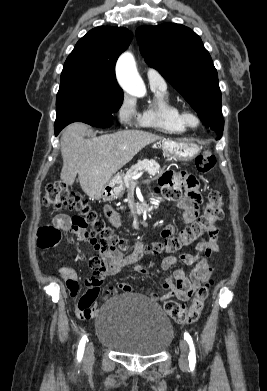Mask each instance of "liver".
Returning a JSON list of instances; mask_svg holds the SVG:
<instances>
[{
    "label": "liver",
    "instance_id": "liver-1",
    "mask_svg": "<svg viewBox=\"0 0 267 391\" xmlns=\"http://www.w3.org/2000/svg\"><path fill=\"white\" fill-rule=\"evenodd\" d=\"M87 131L88 126L83 123H72L62 131L60 178L70 186L78 174L82 190L92 199H100L103 186L138 152L161 139L142 130H123L85 139Z\"/></svg>",
    "mask_w": 267,
    "mask_h": 391
}]
</instances>
